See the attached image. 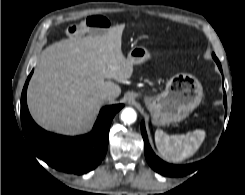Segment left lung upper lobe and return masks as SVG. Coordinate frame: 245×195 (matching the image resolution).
Returning a JSON list of instances; mask_svg holds the SVG:
<instances>
[{
    "label": "left lung upper lobe",
    "mask_w": 245,
    "mask_h": 195,
    "mask_svg": "<svg viewBox=\"0 0 245 195\" xmlns=\"http://www.w3.org/2000/svg\"><path fill=\"white\" fill-rule=\"evenodd\" d=\"M213 58H214V60L216 61V63H218L219 62V60L216 58V56H215V54L213 53Z\"/></svg>",
    "instance_id": "5c2ea615"
}]
</instances>
